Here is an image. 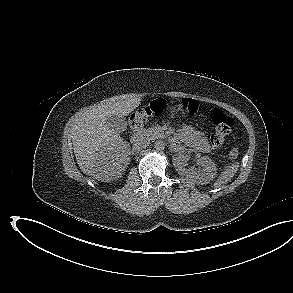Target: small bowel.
<instances>
[{
  "mask_svg": "<svg viewBox=\"0 0 293 293\" xmlns=\"http://www.w3.org/2000/svg\"><path fill=\"white\" fill-rule=\"evenodd\" d=\"M178 138L185 142L191 148H194L201 152H207L210 149V145L206 137L201 132L195 130L191 126H184L180 130Z\"/></svg>",
  "mask_w": 293,
  "mask_h": 293,
  "instance_id": "1",
  "label": "small bowel"
}]
</instances>
